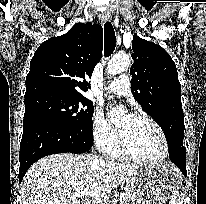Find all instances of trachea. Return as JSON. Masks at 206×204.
<instances>
[{
    "instance_id": "obj_1",
    "label": "trachea",
    "mask_w": 206,
    "mask_h": 204,
    "mask_svg": "<svg viewBox=\"0 0 206 204\" xmlns=\"http://www.w3.org/2000/svg\"><path fill=\"white\" fill-rule=\"evenodd\" d=\"M116 36L111 22L107 21L104 24V56H110L115 50Z\"/></svg>"
}]
</instances>
